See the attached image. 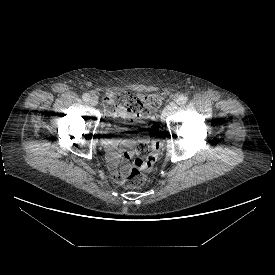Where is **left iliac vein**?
I'll use <instances>...</instances> for the list:
<instances>
[{
  "label": "left iliac vein",
  "mask_w": 275,
  "mask_h": 275,
  "mask_svg": "<svg viewBox=\"0 0 275 275\" xmlns=\"http://www.w3.org/2000/svg\"><path fill=\"white\" fill-rule=\"evenodd\" d=\"M177 109V104L175 101H171L163 110L161 114V120L165 122L166 118L173 114Z\"/></svg>",
  "instance_id": "4c4485c4"
}]
</instances>
